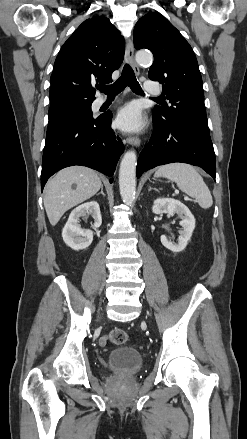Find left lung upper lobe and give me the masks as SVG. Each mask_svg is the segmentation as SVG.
I'll list each match as a JSON object with an SVG mask.
<instances>
[{
    "label": "left lung upper lobe",
    "mask_w": 247,
    "mask_h": 439,
    "mask_svg": "<svg viewBox=\"0 0 247 439\" xmlns=\"http://www.w3.org/2000/svg\"><path fill=\"white\" fill-rule=\"evenodd\" d=\"M134 46L154 55L149 78L163 84L170 106H155L153 117L163 123L188 120L209 129L202 78L196 56L180 32L160 13L146 14L134 28Z\"/></svg>",
    "instance_id": "1"
}]
</instances>
